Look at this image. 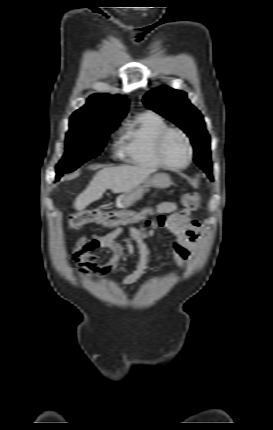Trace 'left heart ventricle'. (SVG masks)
<instances>
[{
  "label": "left heart ventricle",
  "mask_w": 273,
  "mask_h": 430,
  "mask_svg": "<svg viewBox=\"0 0 273 430\" xmlns=\"http://www.w3.org/2000/svg\"><path fill=\"white\" fill-rule=\"evenodd\" d=\"M165 159L174 165H182L188 157L185 141L178 133H171L167 136L163 145Z\"/></svg>",
  "instance_id": "1"
}]
</instances>
